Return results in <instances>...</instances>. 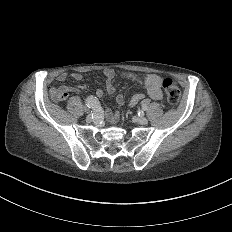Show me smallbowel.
I'll return each instance as SVG.
<instances>
[{
	"label": "small bowel",
	"instance_id": "obj_1",
	"mask_svg": "<svg viewBox=\"0 0 232 232\" xmlns=\"http://www.w3.org/2000/svg\"><path fill=\"white\" fill-rule=\"evenodd\" d=\"M100 74L108 81L111 82L115 78V70L113 69H102ZM136 79L143 85L147 87L146 91L149 97L154 100H162L163 95L160 90V86L163 83V78L161 75L157 73H146V74H136ZM67 79L79 80L81 79V75L79 73H62L58 76L59 81H65ZM79 88L76 86H51L48 88V92L50 94H57V93H70V92H78ZM109 92L114 93L115 87L113 85H109ZM95 94L97 97H102L103 92L100 88H96ZM144 95L142 92H137L132 95L129 106L134 108L137 104L143 99ZM117 101L120 105H123L125 101V94L123 92H119L117 94ZM108 118L111 121L117 119L118 114L113 111L111 106H108L106 109Z\"/></svg>",
	"mask_w": 232,
	"mask_h": 232
}]
</instances>
